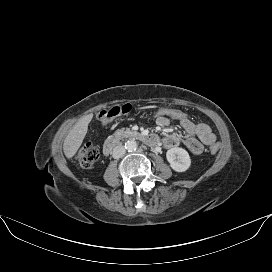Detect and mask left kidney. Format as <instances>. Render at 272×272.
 Masks as SVG:
<instances>
[{
    "instance_id": "obj_1",
    "label": "left kidney",
    "mask_w": 272,
    "mask_h": 272,
    "mask_svg": "<svg viewBox=\"0 0 272 272\" xmlns=\"http://www.w3.org/2000/svg\"><path fill=\"white\" fill-rule=\"evenodd\" d=\"M166 158L171 168L176 172H185L191 165L190 156L183 148L174 147L169 149Z\"/></svg>"
}]
</instances>
